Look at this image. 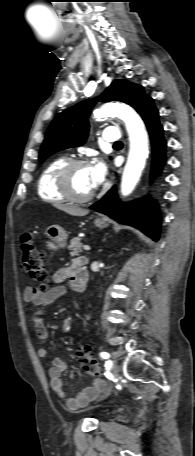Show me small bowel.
Listing matches in <instances>:
<instances>
[{
  "label": "small bowel",
  "instance_id": "small-bowel-1",
  "mask_svg": "<svg viewBox=\"0 0 195 456\" xmlns=\"http://www.w3.org/2000/svg\"><path fill=\"white\" fill-rule=\"evenodd\" d=\"M79 261L75 262L73 265L58 269L53 275V281L55 285L48 290H42L33 287H27L23 291V299L25 302L35 306L42 307L48 306L54 301L62 298L66 294V288L63 285H60L66 279H71L73 272ZM42 311H38L33 318L34 328L38 338L44 343L47 339L48 333L44 325L43 319L41 318ZM48 354L47 347L42 344L38 348V355L40 357H46ZM68 368L67 362L62 358H54L51 366L48 369V376L50 387L52 391L62 399L66 406L75 410L91 401L94 397L97 396L105 387V383L101 379L94 380L91 385L82 389L75 397L67 398L63 382L61 380L62 373Z\"/></svg>",
  "mask_w": 195,
  "mask_h": 456
}]
</instances>
